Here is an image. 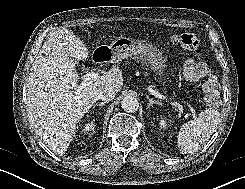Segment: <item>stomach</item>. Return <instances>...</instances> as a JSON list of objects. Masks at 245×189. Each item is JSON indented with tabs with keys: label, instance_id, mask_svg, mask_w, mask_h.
Listing matches in <instances>:
<instances>
[{
	"label": "stomach",
	"instance_id": "0dacf381",
	"mask_svg": "<svg viewBox=\"0 0 245 189\" xmlns=\"http://www.w3.org/2000/svg\"><path fill=\"white\" fill-rule=\"evenodd\" d=\"M97 50H107L111 61H119L126 58H141L150 64L156 75L161 76L166 68V57L156 46L130 37H118L110 45H102Z\"/></svg>",
	"mask_w": 245,
	"mask_h": 189
}]
</instances>
